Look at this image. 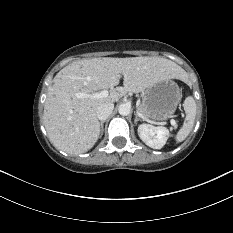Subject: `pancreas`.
<instances>
[{"mask_svg":"<svg viewBox=\"0 0 233 233\" xmlns=\"http://www.w3.org/2000/svg\"><path fill=\"white\" fill-rule=\"evenodd\" d=\"M140 112H141L142 114H144V109H143L142 105L140 106Z\"/></svg>","mask_w":233,"mask_h":233,"instance_id":"pancreas-1","label":"pancreas"}]
</instances>
